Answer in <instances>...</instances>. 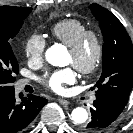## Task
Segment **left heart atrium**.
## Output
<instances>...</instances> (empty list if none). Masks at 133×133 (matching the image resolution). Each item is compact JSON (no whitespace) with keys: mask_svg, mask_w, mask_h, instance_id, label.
<instances>
[{"mask_svg":"<svg viewBox=\"0 0 133 133\" xmlns=\"http://www.w3.org/2000/svg\"><path fill=\"white\" fill-rule=\"evenodd\" d=\"M76 74L72 67L55 70L42 78V83L54 92L61 93L65 86L74 83Z\"/></svg>","mask_w":133,"mask_h":133,"instance_id":"obj_1","label":"left heart atrium"}]
</instances>
